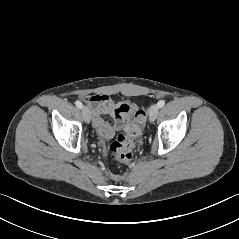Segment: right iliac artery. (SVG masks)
Wrapping results in <instances>:
<instances>
[{
  "mask_svg": "<svg viewBox=\"0 0 239 239\" xmlns=\"http://www.w3.org/2000/svg\"><path fill=\"white\" fill-rule=\"evenodd\" d=\"M75 105L80 109L83 107L82 103L78 100L75 102Z\"/></svg>",
  "mask_w": 239,
  "mask_h": 239,
  "instance_id": "obj_1",
  "label": "right iliac artery"
}]
</instances>
